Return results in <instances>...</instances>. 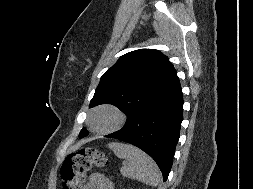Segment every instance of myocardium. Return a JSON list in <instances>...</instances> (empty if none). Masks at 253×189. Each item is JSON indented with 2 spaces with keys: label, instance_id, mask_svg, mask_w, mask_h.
I'll return each instance as SVG.
<instances>
[{
  "label": "myocardium",
  "instance_id": "myocardium-1",
  "mask_svg": "<svg viewBox=\"0 0 253 189\" xmlns=\"http://www.w3.org/2000/svg\"><path fill=\"white\" fill-rule=\"evenodd\" d=\"M101 112H110L113 115L114 121L112 125L109 126L108 128L98 129L94 126V119ZM124 122H125V115L120 109H118L113 105L105 104L98 106L91 112L88 120V125L97 134H110L120 129L123 126Z\"/></svg>",
  "mask_w": 253,
  "mask_h": 189
}]
</instances>
